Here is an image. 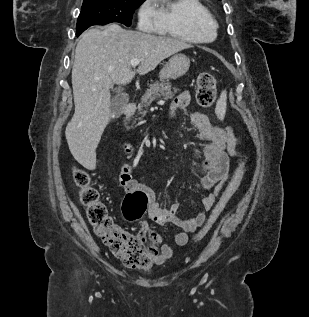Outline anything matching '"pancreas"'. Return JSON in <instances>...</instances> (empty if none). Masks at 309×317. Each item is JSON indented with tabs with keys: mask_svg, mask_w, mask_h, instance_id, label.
Here are the masks:
<instances>
[{
	"mask_svg": "<svg viewBox=\"0 0 309 317\" xmlns=\"http://www.w3.org/2000/svg\"><path fill=\"white\" fill-rule=\"evenodd\" d=\"M176 92L177 88H172L170 82H158L156 81L153 84L149 85V88L147 89L146 93L142 96L141 102L138 105V114L140 117L138 120H140L143 116L146 115L147 111L146 109L151 105V103L161 97L165 99L172 98L174 96V92Z\"/></svg>",
	"mask_w": 309,
	"mask_h": 317,
	"instance_id": "1",
	"label": "pancreas"
}]
</instances>
